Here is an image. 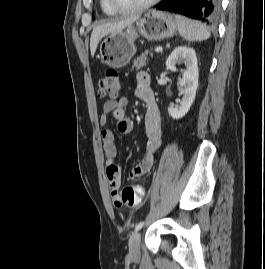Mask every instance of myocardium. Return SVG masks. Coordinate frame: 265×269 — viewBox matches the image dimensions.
Instances as JSON below:
<instances>
[{
  "label": "myocardium",
  "instance_id": "1",
  "mask_svg": "<svg viewBox=\"0 0 265 269\" xmlns=\"http://www.w3.org/2000/svg\"><path fill=\"white\" fill-rule=\"evenodd\" d=\"M159 1L160 0H148L145 3L134 6V7H121L117 4L116 0H109V3L111 5V7L118 13H132V12L144 11V10L154 6Z\"/></svg>",
  "mask_w": 265,
  "mask_h": 269
}]
</instances>
